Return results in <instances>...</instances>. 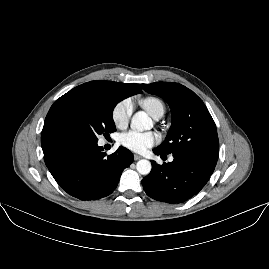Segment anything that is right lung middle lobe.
Here are the masks:
<instances>
[{
	"mask_svg": "<svg viewBox=\"0 0 269 269\" xmlns=\"http://www.w3.org/2000/svg\"><path fill=\"white\" fill-rule=\"evenodd\" d=\"M119 101L102 96L66 93L51 106L45 124L65 126L81 139L98 141L116 131L113 109Z\"/></svg>",
	"mask_w": 269,
	"mask_h": 269,
	"instance_id": "obj_1",
	"label": "right lung middle lobe"
}]
</instances>
